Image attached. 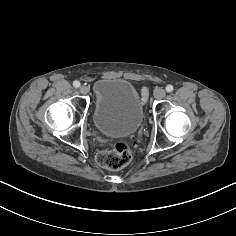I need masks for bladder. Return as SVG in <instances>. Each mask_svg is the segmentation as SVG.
Masks as SVG:
<instances>
[{
    "mask_svg": "<svg viewBox=\"0 0 236 236\" xmlns=\"http://www.w3.org/2000/svg\"><path fill=\"white\" fill-rule=\"evenodd\" d=\"M93 121L106 136L134 134L144 120V104L134 86L123 79L104 78L94 84Z\"/></svg>",
    "mask_w": 236,
    "mask_h": 236,
    "instance_id": "1",
    "label": "bladder"
}]
</instances>
